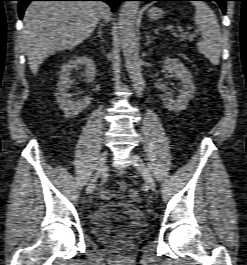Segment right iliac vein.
<instances>
[{"label":"right iliac vein","instance_id":"obj_1","mask_svg":"<svg viewBox=\"0 0 247 265\" xmlns=\"http://www.w3.org/2000/svg\"><path fill=\"white\" fill-rule=\"evenodd\" d=\"M107 155H108L107 151H103L98 157L96 168H95V173L87 187L88 194H92L95 190L96 182L98 178L101 176V174L103 173V170L105 168Z\"/></svg>","mask_w":247,"mask_h":265}]
</instances>
